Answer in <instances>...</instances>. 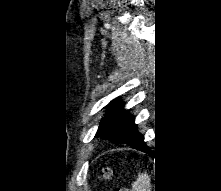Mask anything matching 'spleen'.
I'll return each instance as SVG.
<instances>
[{
  "mask_svg": "<svg viewBox=\"0 0 221 191\" xmlns=\"http://www.w3.org/2000/svg\"><path fill=\"white\" fill-rule=\"evenodd\" d=\"M132 191H151V178L147 172L140 174L132 184Z\"/></svg>",
  "mask_w": 221,
  "mask_h": 191,
  "instance_id": "3e777b00",
  "label": "spleen"
}]
</instances>
